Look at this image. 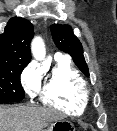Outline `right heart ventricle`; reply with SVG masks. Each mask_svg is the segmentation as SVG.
<instances>
[{
    "instance_id": "right-heart-ventricle-1",
    "label": "right heart ventricle",
    "mask_w": 117,
    "mask_h": 131,
    "mask_svg": "<svg viewBox=\"0 0 117 131\" xmlns=\"http://www.w3.org/2000/svg\"><path fill=\"white\" fill-rule=\"evenodd\" d=\"M39 95L44 104L71 115L82 114L90 98L86 81L64 58H56L40 83Z\"/></svg>"
}]
</instances>
